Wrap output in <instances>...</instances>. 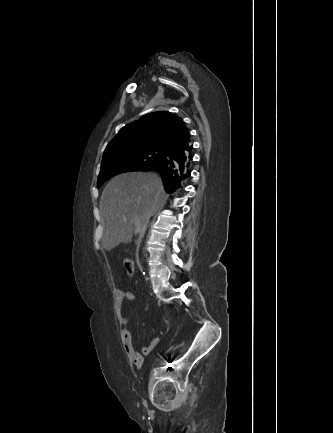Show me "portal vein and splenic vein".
I'll use <instances>...</instances> for the list:
<instances>
[{"mask_svg":"<svg viewBox=\"0 0 333 433\" xmlns=\"http://www.w3.org/2000/svg\"><path fill=\"white\" fill-rule=\"evenodd\" d=\"M134 221H135V226H136L135 233L141 234V227H140V222H139L138 218H135Z\"/></svg>","mask_w":333,"mask_h":433,"instance_id":"18ae733b","label":"portal vein and splenic vein"}]
</instances>
